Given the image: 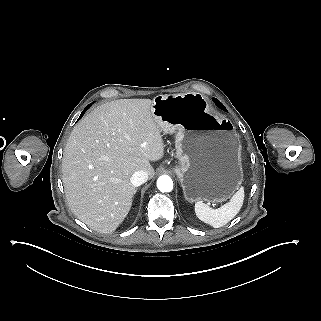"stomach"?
Masks as SVG:
<instances>
[{"label": "stomach", "instance_id": "stomach-1", "mask_svg": "<svg viewBox=\"0 0 321 321\" xmlns=\"http://www.w3.org/2000/svg\"><path fill=\"white\" fill-rule=\"evenodd\" d=\"M151 114L160 131L175 133L174 169L190 201L227 200L243 180L241 142L233 122L209 112L195 92L157 95Z\"/></svg>", "mask_w": 321, "mask_h": 321}]
</instances>
